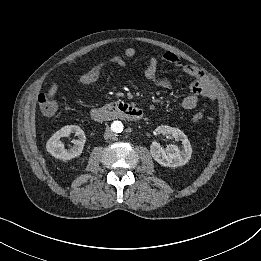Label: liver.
I'll use <instances>...</instances> for the list:
<instances>
[{
	"instance_id": "obj_1",
	"label": "liver",
	"mask_w": 261,
	"mask_h": 261,
	"mask_svg": "<svg viewBox=\"0 0 261 261\" xmlns=\"http://www.w3.org/2000/svg\"><path fill=\"white\" fill-rule=\"evenodd\" d=\"M57 88L58 87L56 84L52 85V87L50 88V90L48 91V94H47L49 98H52L56 94Z\"/></svg>"
}]
</instances>
